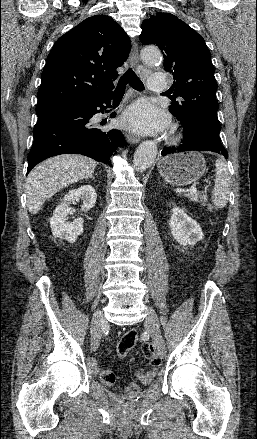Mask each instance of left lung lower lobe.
I'll return each mask as SVG.
<instances>
[{
  "label": "left lung lower lobe",
  "instance_id": "obj_1",
  "mask_svg": "<svg viewBox=\"0 0 257 439\" xmlns=\"http://www.w3.org/2000/svg\"><path fill=\"white\" fill-rule=\"evenodd\" d=\"M183 127V143L178 147H166L161 155L177 151L198 150L211 151L228 158V153L221 143L219 132L215 127L200 119L180 121Z\"/></svg>",
  "mask_w": 257,
  "mask_h": 439
}]
</instances>
